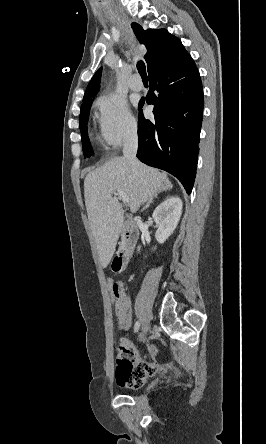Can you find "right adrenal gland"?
<instances>
[{"label": "right adrenal gland", "mask_w": 266, "mask_h": 444, "mask_svg": "<svg viewBox=\"0 0 266 444\" xmlns=\"http://www.w3.org/2000/svg\"><path fill=\"white\" fill-rule=\"evenodd\" d=\"M167 183H169V182H167ZM153 198H150L149 199V201H148V203L146 204V206L142 209V211H144V210H146L147 208H149L150 207V205L151 204H153Z\"/></svg>", "instance_id": "obj_1"}]
</instances>
